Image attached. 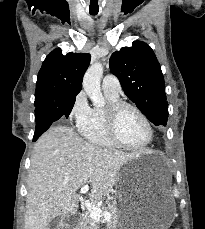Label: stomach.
<instances>
[{
	"label": "stomach",
	"instance_id": "stomach-1",
	"mask_svg": "<svg viewBox=\"0 0 205 229\" xmlns=\"http://www.w3.org/2000/svg\"><path fill=\"white\" fill-rule=\"evenodd\" d=\"M141 157H150V154L132 159L119 173L117 229H168L174 220L175 207L160 198L152 202L136 190L142 174Z\"/></svg>",
	"mask_w": 205,
	"mask_h": 229
}]
</instances>
